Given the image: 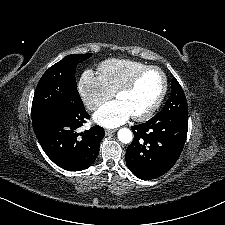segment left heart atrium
<instances>
[{
    "label": "left heart atrium",
    "mask_w": 225,
    "mask_h": 225,
    "mask_svg": "<svg viewBox=\"0 0 225 225\" xmlns=\"http://www.w3.org/2000/svg\"><path fill=\"white\" fill-rule=\"evenodd\" d=\"M131 113L119 101H111L100 107L94 114V120L107 128H114L124 124L131 117Z\"/></svg>",
    "instance_id": "obj_1"
}]
</instances>
